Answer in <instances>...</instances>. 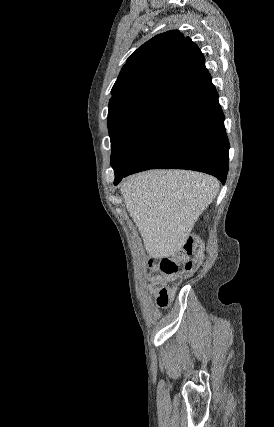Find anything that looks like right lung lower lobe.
I'll return each instance as SVG.
<instances>
[{"instance_id":"98d812e1","label":"right lung lower lobe","mask_w":274,"mask_h":427,"mask_svg":"<svg viewBox=\"0 0 274 427\" xmlns=\"http://www.w3.org/2000/svg\"><path fill=\"white\" fill-rule=\"evenodd\" d=\"M229 143L218 94L209 82L170 108L140 151L127 165L112 166L114 185L148 169H190L225 183Z\"/></svg>"}]
</instances>
